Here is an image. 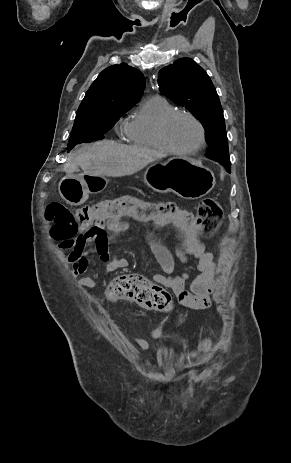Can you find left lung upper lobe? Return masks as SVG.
<instances>
[{"instance_id":"5c2ea615","label":"left lung upper lobe","mask_w":291,"mask_h":463,"mask_svg":"<svg viewBox=\"0 0 291 463\" xmlns=\"http://www.w3.org/2000/svg\"><path fill=\"white\" fill-rule=\"evenodd\" d=\"M157 86L200 120L209 144L206 156L230 162L223 110L206 71L192 59L181 58L159 71Z\"/></svg>"}]
</instances>
